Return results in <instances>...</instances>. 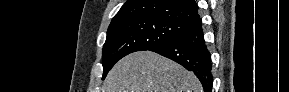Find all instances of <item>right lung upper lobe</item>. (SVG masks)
Returning <instances> with one entry per match:
<instances>
[{"label":"right lung upper lobe","instance_id":"cb5924a9","mask_svg":"<svg viewBox=\"0 0 289 92\" xmlns=\"http://www.w3.org/2000/svg\"><path fill=\"white\" fill-rule=\"evenodd\" d=\"M199 17L194 0H128L110 25L131 18H155L189 26Z\"/></svg>","mask_w":289,"mask_h":92}]
</instances>
